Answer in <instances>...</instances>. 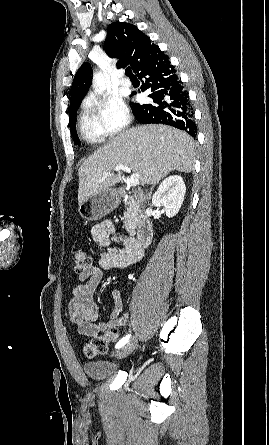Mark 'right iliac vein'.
<instances>
[{"instance_id": "63e3f726", "label": "right iliac vein", "mask_w": 269, "mask_h": 445, "mask_svg": "<svg viewBox=\"0 0 269 445\" xmlns=\"http://www.w3.org/2000/svg\"><path fill=\"white\" fill-rule=\"evenodd\" d=\"M135 347H136V341L132 340L131 342L124 345L116 352L115 354L116 358L121 359L128 356L135 349Z\"/></svg>"}]
</instances>
